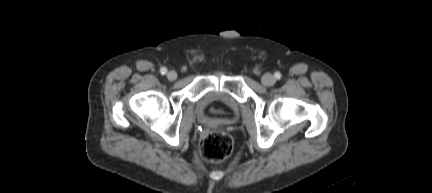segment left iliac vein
Listing matches in <instances>:
<instances>
[{"mask_svg": "<svg viewBox=\"0 0 432 193\" xmlns=\"http://www.w3.org/2000/svg\"><path fill=\"white\" fill-rule=\"evenodd\" d=\"M275 77L269 73L264 74L262 77V83L265 86H272L275 83Z\"/></svg>", "mask_w": 432, "mask_h": 193, "instance_id": "4c4485c4", "label": "left iliac vein"}]
</instances>
